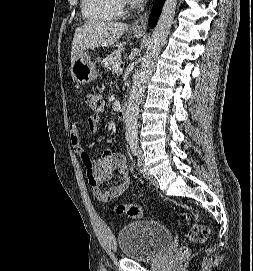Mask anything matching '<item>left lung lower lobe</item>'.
Returning <instances> with one entry per match:
<instances>
[{"label": "left lung lower lobe", "mask_w": 253, "mask_h": 271, "mask_svg": "<svg viewBox=\"0 0 253 271\" xmlns=\"http://www.w3.org/2000/svg\"><path fill=\"white\" fill-rule=\"evenodd\" d=\"M165 0H155L154 6H153V10L149 19V25L151 27H154L155 24L157 23V20L159 18V15L161 13L162 10V5L164 3Z\"/></svg>", "instance_id": "1"}]
</instances>
